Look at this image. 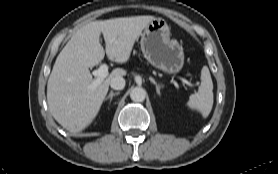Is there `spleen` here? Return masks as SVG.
<instances>
[{"instance_id": "spleen-1", "label": "spleen", "mask_w": 278, "mask_h": 174, "mask_svg": "<svg viewBox=\"0 0 278 174\" xmlns=\"http://www.w3.org/2000/svg\"><path fill=\"white\" fill-rule=\"evenodd\" d=\"M213 101V82L208 67L204 66L201 70V84L198 92L190 96L187 105L200 111L206 118L212 110Z\"/></svg>"}]
</instances>
